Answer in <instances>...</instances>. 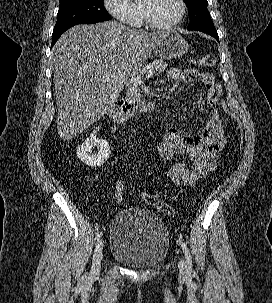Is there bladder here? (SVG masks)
I'll return each instance as SVG.
<instances>
[{"instance_id": "bladder-1", "label": "bladder", "mask_w": 272, "mask_h": 303, "mask_svg": "<svg viewBox=\"0 0 272 303\" xmlns=\"http://www.w3.org/2000/svg\"><path fill=\"white\" fill-rule=\"evenodd\" d=\"M169 232L162 218L140 207L120 210L110 224V255L135 269H148L166 258Z\"/></svg>"}]
</instances>
